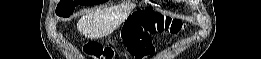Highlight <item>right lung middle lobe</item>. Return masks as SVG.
<instances>
[{
	"mask_svg": "<svg viewBox=\"0 0 261 59\" xmlns=\"http://www.w3.org/2000/svg\"><path fill=\"white\" fill-rule=\"evenodd\" d=\"M106 0H61L56 8V14L62 17H69L76 5H93L104 3Z\"/></svg>",
	"mask_w": 261,
	"mask_h": 59,
	"instance_id": "right-lung-middle-lobe-1",
	"label": "right lung middle lobe"
}]
</instances>
